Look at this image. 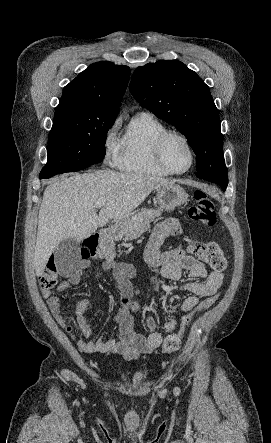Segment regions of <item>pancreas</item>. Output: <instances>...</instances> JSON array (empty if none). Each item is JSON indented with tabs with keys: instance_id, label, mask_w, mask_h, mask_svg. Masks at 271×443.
<instances>
[{
	"instance_id": "1",
	"label": "pancreas",
	"mask_w": 271,
	"mask_h": 443,
	"mask_svg": "<svg viewBox=\"0 0 271 443\" xmlns=\"http://www.w3.org/2000/svg\"><path fill=\"white\" fill-rule=\"evenodd\" d=\"M158 216H161L160 210H147V208H143L138 214H131L129 220L122 222L125 239L139 237L147 227H150L151 220H155Z\"/></svg>"
}]
</instances>
